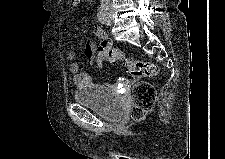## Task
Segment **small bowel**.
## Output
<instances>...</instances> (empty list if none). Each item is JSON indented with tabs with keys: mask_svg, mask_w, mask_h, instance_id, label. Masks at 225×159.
<instances>
[{
	"mask_svg": "<svg viewBox=\"0 0 225 159\" xmlns=\"http://www.w3.org/2000/svg\"><path fill=\"white\" fill-rule=\"evenodd\" d=\"M93 35L94 37L101 40L99 47L106 46L113 48V42L109 39L105 30H103L101 27H94ZM99 47L97 48L93 41H89L85 46L84 55L91 64H96L99 68H102V58L98 54ZM75 57L76 53L74 50H69L67 52V59L71 61L69 70L73 74L74 85L81 88L92 82L93 75L91 73L80 72L79 64L74 61ZM120 83L126 84L127 80L122 79L120 80Z\"/></svg>",
	"mask_w": 225,
	"mask_h": 159,
	"instance_id": "1",
	"label": "small bowel"
}]
</instances>
